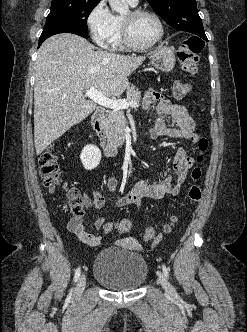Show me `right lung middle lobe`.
<instances>
[{
	"instance_id": "dd1d6c3e",
	"label": "right lung middle lobe",
	"mask_w": 247,
	"mask_h": 332,
	"mask_svg": "<svg viewBox=\"0 0 247 332\" xmlns=\"http://www.w3.org/2000/svg\"><path fill=\"white\" fill-rule=\"evenodd\" d=\"M100 0H52L46 24L67 23L88 31L87 18Z\"/></svg>"
}]
</instances>
